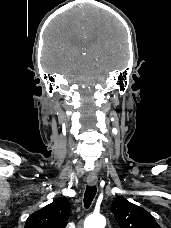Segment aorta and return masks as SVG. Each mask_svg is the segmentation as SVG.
Wrapping results in <instances>:
<instances>
[{"instance_id": "aorta-1", "label": "aorta", "mask_w": 171, "mask_h": 228, "mask_svg": "<svg viewBox=\"0 0 171 228\" xmlns=\"http://www.w3.org/2000/svg\"><path fill=\"white\" fill-rule=\"evenodd\" d=\"M106 219L102 215H90L84 222V228H105Z\"/></svg>"}]
</instances>
